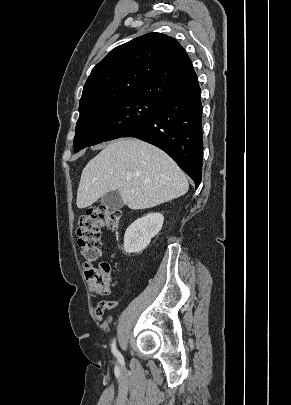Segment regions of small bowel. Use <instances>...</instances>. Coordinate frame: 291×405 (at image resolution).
Here are the masks:
<instances>
[{
  "label": "small bowel",
  "mask_w": 291,
  "mask_h": 405,
  "mask_svg": "<svg viewBox=\"0 0 291 405\" xmlns=\"http://www.w3.org/2000/svg\"><path fill=\"white\" fill-rule=\"evenodd\" d=\"M116 307V303L113 301L100 302L95 308V316L97 319H102L104 311L108 309H113Z\"/></svg>",
  "instance_id": "small-bowel-1"
}]
</instances>
